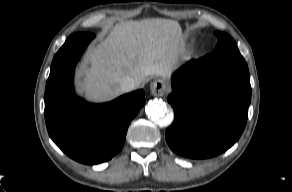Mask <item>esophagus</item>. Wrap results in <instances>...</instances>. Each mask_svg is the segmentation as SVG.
<instances>
[{"mask_svg": "<svg viewBox=\"0 0 292 192\" xmlns=\"http://www.w3.org/2000/svg\"><path fill=\"white\" fill-rule=\"evenodd\" d=\"M150 90L154 96H163L167 90V84L163 79H157L151 82Z\"/></svg>", "mask_w": 292, "mask_h": 192, "instance_id": "34e87169", "label": "esophagus"}]
</instances>
